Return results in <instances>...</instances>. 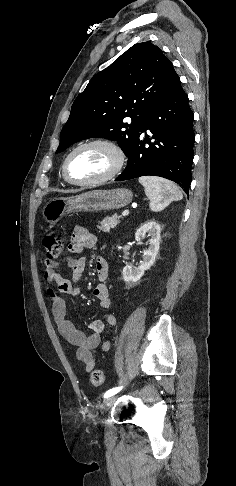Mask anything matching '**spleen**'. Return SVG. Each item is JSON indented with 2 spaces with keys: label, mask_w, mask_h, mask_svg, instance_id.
Segmentation results:
<instances>
[{
  "label": "spleen",
  "mask_w": 236,
  "mask_h": 486,
  "mask_svg": "<svg viewBox=\"0 0 236 486\" xmlns=\"http://www.w3.org/2000/svg\"><path fill=\"white\" fill-rule=\"evenodd\" d=\"M139 182L145 189V194L150 199V209L152 211H161L172 201H178L183 198L179 188L163 178L154 176H142Z\"/></svg>",
  "instance_id": "3e777b00"
}]
</instances>
